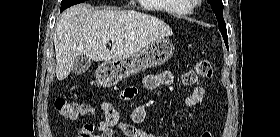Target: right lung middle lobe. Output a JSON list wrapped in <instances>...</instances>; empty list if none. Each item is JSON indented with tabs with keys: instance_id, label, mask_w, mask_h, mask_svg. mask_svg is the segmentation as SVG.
Segmentation results:
<instances>
[{
	"instance_id": "1",
	"label": "right lung middle lobe",
	"mask_w": 280,
	"mask_h": 137,
	"mask_svg": "<svg viewBox=\"0 0 280 137\" xmlns=\"http://www.w3.org/2000/svg\"><path fill=\"white\" fill-rule=\"evenodd\" d=\"M84 1L85 0H62V2H61V10L60 11H63L66 8H68V7L72 6V5H75V4H78V3H82Z\"/></svg>"
}]
</instances>
